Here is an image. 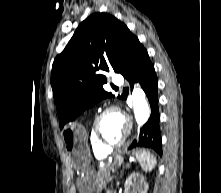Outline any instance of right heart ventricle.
Here are the masks:
<instances>
[{"label": "right heart ventricle", "mask_w": 221, "mask_h": 193, "mask_svg": "<svg viewBox=\"0 0 221 193\" xmlns=\"http://www.w3.org/2000/svg\"><path fill=\"white\" fill-rule=\"evenodd\" d=\"M89 141L92 147V151L94 153V155L98 158H103L105 156H107L109 154V151L105 148H103L94 138L93 136V132H92V127L90 130V134H89Z\"/></svg>", "instance_id": "1"}]
</instances>
